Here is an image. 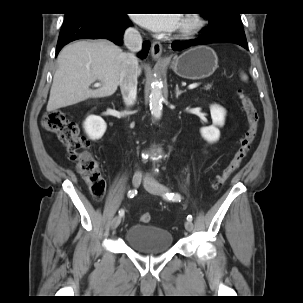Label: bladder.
<instances>
[{
	"label": "bladder",
	"mask_w": 303,
	"mask_h": 303,
	"mask_svg": "<svg viewBox=\"0 0 303 303\" xmlns=\"http://www.w3.org/2000/svg\"><path fill=\"white\" fill-rule=\"evenodd\" d=\"M125 243L132 249L147 255L166 252L173 244L170 231L151 225L134 224L124 235Z\"/></svg>",
	"instance_id": "31cf9c89"
}]
</instances>
